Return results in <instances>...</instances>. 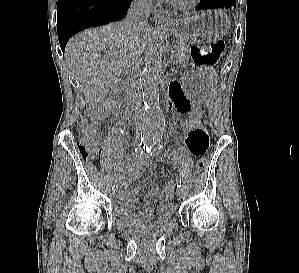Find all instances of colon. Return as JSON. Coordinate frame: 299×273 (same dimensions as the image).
I'll use <instances>...</instances> for the list:
<instances>
[{"mask_svg":"<svg viewBox=\"0 0 299 273\" xmlns=\"http://www.w3.org/2000/svg\"><path fill=\"white\" fill-rule=\"evenodd\" d=\"M191 50L196 63L215 65L223 59L226 52V44L223 40H217L209 48L192 46ZM202 116L203 112L198 107L192 109L186 115L184 120L181 122V129L184 136L192 130L201 127ZM77 139L78 150L82 157L86 160L98 161L100 148L98 147V132L95 124L89 121H84L78 127ZM206 164L207 161L205 158L198 159L195 164L197 172H203ZM173 203L175 202L173 201Z\"/></svg>","mask_w":299,"mask_h":273,"instance_id":"5ec220e1","label":"colon"}]
</instances>
